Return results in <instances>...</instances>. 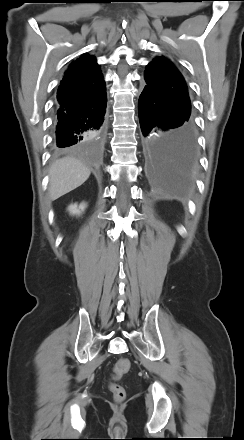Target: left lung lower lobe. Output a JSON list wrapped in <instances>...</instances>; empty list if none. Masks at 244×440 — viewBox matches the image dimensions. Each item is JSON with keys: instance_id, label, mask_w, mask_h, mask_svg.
Instances as JSON below:
<instances>
[{"instance_id": "obj_1", "label": "left lung lower lobe", "mask_w": 244, "mask_h": 440, "mask_svg": "<svg viewBox=\"0 0 244 440\" xmlns=\"http://www.w3.org/2000/svg\"><path fill=\"white\" fill-rule=\"evenodd\" d=\"M138 110L149 169L174 179L181 189L187 188L198 159L191 113L180 110L148 86L139 97Z\"/></svg>"}]
</instances>
